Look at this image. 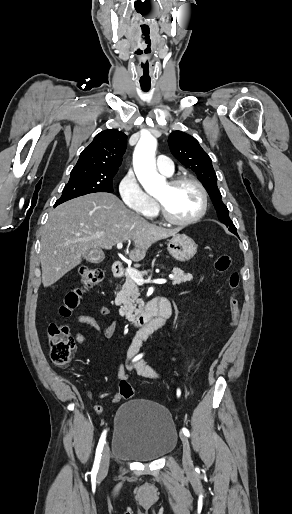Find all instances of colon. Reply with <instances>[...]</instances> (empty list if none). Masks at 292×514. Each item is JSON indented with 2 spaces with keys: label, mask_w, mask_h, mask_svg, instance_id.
Returning a JSON list of instances; mask_svg holds the SVG:
<instances>
[{
  "label": "colon",
  "mask_w": 292,
  "mask_h": 514,
  "mask_svg": "<svg viewBox=\"0 0 292 514\" xmlns=\"http://www.w3.org/2000/svg\"><path fill=\"white\" fill-rule=\"evenodd\" d=\"M216 269L228 276V286L231 292L230 295V315L229 326L233 327L239 317V300L237 292L240 286V276L237 271L232 270L231 258L228 254H219L215 263ZM82 282L85 287L98 286L103 278L104 272L101 269L92 267H83L80 270ZM83 291L79 288L72 289L65 294L63 303L60 306V311L64 315H68L78 305ZM48 337L50 343V359L57 367L66 365L72 357V350L74 346V339L70 335L68 328L60 323H53L48 327ZM118 392L123 396V399H129L135 392L133 384H120ZM102 407H97L95 411L99 413Z\"/></svg>",
  "instance_id": "colon-1"
}]
</instances>
